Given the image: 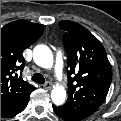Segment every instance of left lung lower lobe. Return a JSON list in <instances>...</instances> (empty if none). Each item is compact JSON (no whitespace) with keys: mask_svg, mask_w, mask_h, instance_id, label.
<instances>
[{"mask_svg":"<svg viewBox=\"0 0 121 121\" xmlns=\"http://www.w3.org/2000/svg\"><path fill=\"white\" fill-rule=\"evenodd\" d=\"M53 108H54V111L56 112V114H57L60 118H62V119L65 120V121H69V120L66 118V116L63 114V112L59 109V107L53 105Z\"/></svg>","mask_w":121,"mask_h":121,"instance_id":"1","label":"left lung lower lobe"}]
</instances>
